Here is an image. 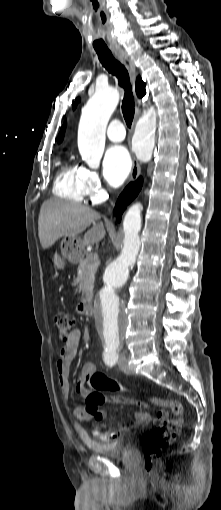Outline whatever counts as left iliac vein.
<instances>
[{"label": "left iliac vein", "instance_id": "obj_1", "mask_svg": "<svg viewBox=\"0 0 221 510\" xmlns=\"http://www.w3.org/2000/svg\"><path fill=\"white\" fill-rule=\"evenodd\" d=\"M118 365H119V368L121 371H123L124 373L126 374H130L131 373V370H130V367L127 363V358L125 355H122L120 356L119 358V361H118Z\"/></svg>", "mask_w": 221, "mask_h": 510}]
</instances>
